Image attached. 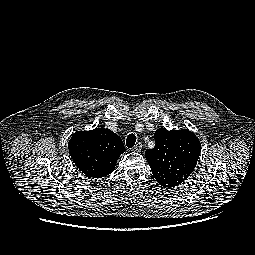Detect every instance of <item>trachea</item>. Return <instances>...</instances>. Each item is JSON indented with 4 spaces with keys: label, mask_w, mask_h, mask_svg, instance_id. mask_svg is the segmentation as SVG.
Listing matches in <instances>:
<instances>
[{
    "label": "trachea",
    "mask_w": 255,
    "mask_h": 255,
    "mask_svg": "<svg viewBox=\"0 0 255 255\" xmlns=\"http://www.w3.org/2000/svg\"><path fill=\"white\" fill-rule=\"evenodd\" d=\"M136 142V136L134 134H129L126 139V145L128 148H133Z\"/></svg>",
    "instance_id": "1"
}]
</instances>
